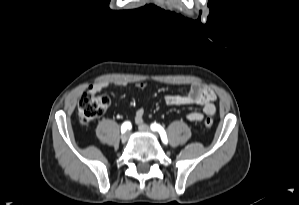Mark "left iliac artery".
<instances>
[{
  "mask_svg": "<svg viewBox=\"0 0 299 205\" xmlns=\"http://www.w3.org/2000/svg\"><path fill=\"white\" fill-rule=\"evenodd\" d=\"M151 129L160 134L162 141L167 144L168 139L165 130L157 123L151 124Z\"/></svg>",
  "mask_w": 299,
  "mask_h": 205,
  "instance_id": "obj_1",
  "label": "left iliac artery"
}]
</instances>
